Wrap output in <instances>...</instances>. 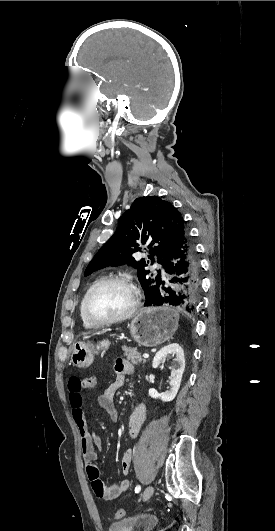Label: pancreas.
Returning <instances> with one entry per match:
<instances>
[{
	"mask_svg": "<svg viewBox=\"0 0 275 531\" xmlns=\"http://www.w3.org/2000/svg\"><path fill=\"white\" fill-rule=\"evenodd\" d=\"M122 351H124V357H126L127 361H130L133 365L146 363V359H141V353H138L137 347H134V349H131V347H122Z\"/></svg>",
	"mask_w": 275,
	"mask_h": 531,
	"instance_id": "pancreas-1",
	"label": "pancreas"
}]
</instances>
